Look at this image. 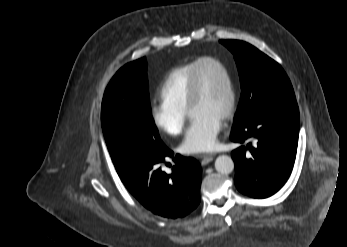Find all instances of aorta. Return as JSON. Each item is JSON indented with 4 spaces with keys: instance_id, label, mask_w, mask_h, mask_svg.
<instances>
[{
    "instance_id": "aorta-1",
    "label": "aorta",
    "mask_w": 347,
    "mask_h": 247,
    "mask_svg": "<svg viewBox=\"0 0 347 247\" xmlns=\"http://www.w3.org/2000/svg\"><path fill=\"white\" fill-rule=\"evenodd\" d=\"M215 169L221 174H230L234 169V162L230 156H218L215 160Z\"/></svg>"
}]
</instances>
